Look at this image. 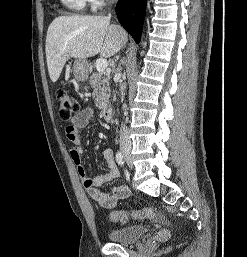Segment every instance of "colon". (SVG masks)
<instances>
[{
    "label": "colon",
    "mask_w": 247,
    "mask_h": 257,
    "mask_svg": "<svg viewBox=\"0 0 247 257\" xmlns=\"http://www.w3.org/2000/svg\"><path fill=\"white\" fill-rule=\"evenodd\" d=\"M56 101L58 105L59 116L64 121H71L74 114L80 110V104L78 100L65 90H58L56 93ZM155 217V212L151 208H145L143 210H131V211H112L110 213V219L113 222L125 223L129 219L150 220Z\"/></svg>",
    "instance_id": "colon-1"
}]
</instances>
